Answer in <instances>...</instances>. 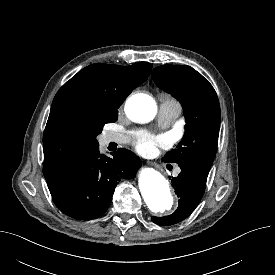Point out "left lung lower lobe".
<instances>
[{
    "instance_id": "left-lung-lower-lobe-1",
    "label": "left lung lower lobe",
    "mask_w": 275,
    "mask_h": 275,
    "mask_svg": "<svg viewBox=\"0 0 275 275\" xmlns=\"http://www.w3.org/2000/svg\"><path fill=\"white\" fill-rule=\"evenodd\" d=\"M180 168V174L175 178L172 177L173 187L180 198L179 206L169 216L152 217V221L158 225H173L187 218L195 210L204 194L210 169L193 163L181 165Z\"/></svg>"
}]
</instances>
